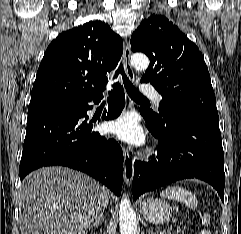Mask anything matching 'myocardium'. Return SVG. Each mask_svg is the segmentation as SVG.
I'll use <instances>...</instances> for the list:
<instances>
[{"instance_id":"1","label":"myocardium","mask_w":241,"mask_h":234,"mask_svg":"<svg viewBox=\"0 0 241 234\" xmlns=\"http://www.w3.org/2000/svg\"><path fill=\"white\" fill-rule=\"evenodd\" d=\"M154 153H155V149L154 148H152V149H150L148 151V155H153Z\"/></svg>"}]
</instances>
